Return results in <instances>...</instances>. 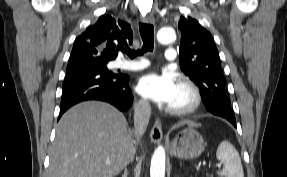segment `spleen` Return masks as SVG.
I'll use <instances>...</instances> for the list:
<instances>
[{"label": "spleen", "instance_id": "3e777b00", "mask_svg": "<svg viewBox=\"0 0 287 177\" xmlns=\"http://www.w3.org/2000/svg\"><path fill=\"white\" fill-rule=\"evenodd\" d=\"M217 159L223 163V169L218 171L221 177H244L241 159L236 148L228 141L219 144Z\"/></svg>", "mask_w": 287, "mask_h": 177}]
</instances>
